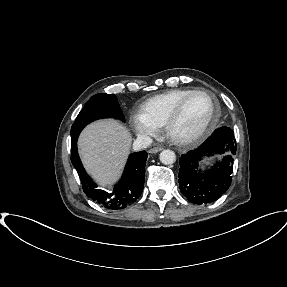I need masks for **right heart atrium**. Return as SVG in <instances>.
Listing matches in <instances>:
<instances>
[{
    "mask_svg": "<svg viewBox=\"0 0 287 287\" xmlns=\"http://www.w3.org/2000/svg\"><path fill=\"white\" fill-rule=\"evenodd\" d=\"M131 122L140 137L149 138L158 132V126L145 118L140 111L131 115Z\"/></svg>",
    "mask_w": 287,
    "mask_h": 287,
    "instance_id": "right-heart-atrium-1",
    "label": "right heart atrium"
}]
</instances>
